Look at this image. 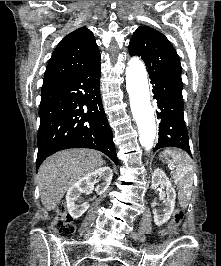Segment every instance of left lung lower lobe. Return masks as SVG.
Instances as JSON below:
<instances>
[{
  "label": "left lung lower lobe",
  "instance_id": "1",
  "mask_svg": "<svg viewBox=\"0 0 221 266\" xmlns=\"http://www.w3.org/2000/svg\"><path fill=\"white\" fill-rule=\"evenodd\" d=\"M153 84V99L157 100L160 112H157L159 124V139L153 151L163 147H178L191 155L188 132L183 114L182 84L175 81L150 77Z\"/></svg>",
  "mask_w": 221,
  "mask_h": 266
}]
</instances>
